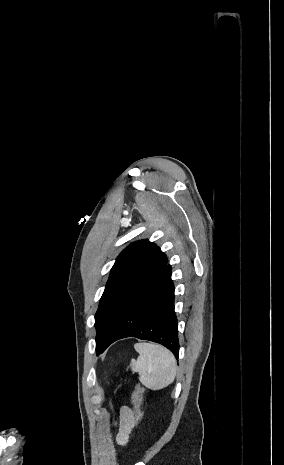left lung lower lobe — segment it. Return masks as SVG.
Here are the masks:
<instances>
[{"label": "left lung lower lobe", "instance_id": "left-lung-lower-lobe-1", "mask_svg": "<svg viewBox=\"0 0 284 465\" xmlns=\"http://www.w3.org/2000/svg\"><path fill=\"white\" fill-rule=\"evenodd\" d=\"M126 337L159 343L178 359V330L170 265L166 264L162 271L124 306L104 338L102 352L113 342Z\"/></svg>", "mask_w": 284, "mask_h": 465}]
</instances>
